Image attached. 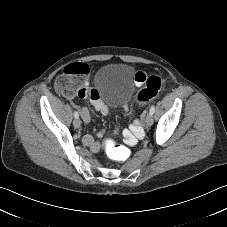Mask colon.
I'll return each mask as SVG.
<instances>
[{"instance_id":"colon-1","label":"colon","mask_w":227,"mask_h":227,"mask_svg":"<svg viewBox=\"0 0 227 227\" xmlns=\"http://www.w3.org/2000/svg\"><path fill=\"white\" fill-rule=\"evenodd\" d=\"M78 75L77 65L67 67L57 78V88L67 96L77 94L79 98L83 99L85 93L82 89H79ZM134 81L139 84L135 100L140 107L145 106L149 101L153 100L162 89V78L158 75L146 76L142 72H137L134 76ZM90 98L94 99L93 93H91ZM136 137L135 134L125 135L126 144H134ZM103 147L109 158L115 162H124L130 155L128 147L111 148L106 142L103 143Z\"/></svg>"}]
</instances>
